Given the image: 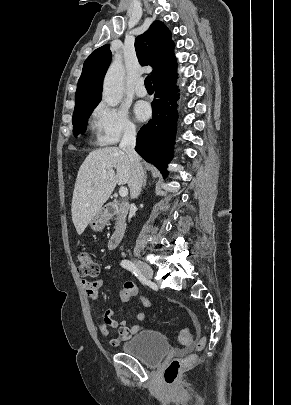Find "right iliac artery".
I'll use <instances>...</instances> for the list:
<instances>
[{
  "label": "right iliac artery",
  "instance_id": "82829eb1",
  "mask_svg": "<svg viewBox=\"0 0 291 405\" xmlns=\"http://www.w3.org/2000/svg\"><path fill=\"white\" fill-rule=\"evenodd\" d=\"M121 266L129 271H131L139 280L140 282L145 285L147 283L146 278L143 276L141 271L135 266L134 263H132L129 260H122L121 261Z\"/></svg>",
  "mask_w": 291,
  "mask_h": 405
}]
</instances>
